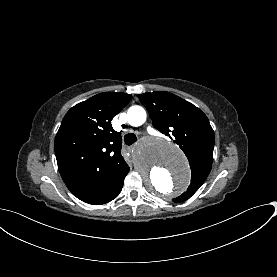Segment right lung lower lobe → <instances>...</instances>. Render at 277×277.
Returning a JSON list of instances; mask_svg holds the SVG:
<instances>
[{
    "mask_svg": "<svg viewBox=\"0 0 277 277\" xmlns=\"http://www.w3.org/2000/svg\"><path fill=\"white\" fill-rule=\"evenodd\" d=\"M128 172H129V167L127 166V168L124 170V172L120 176L119 180L113 186H111L103 194L99 195L98 197H96L90 201H87L86 203H89L92 205H100V204L107 203V202L113 200L114 198H116L122 190L124 178L128 174Z\"/></svg>",
    "mask_w": 277,
    "mask_h": 277,
    "instance_id": "1",
    "label": "right lung lower lobe"
}]
</instances>
